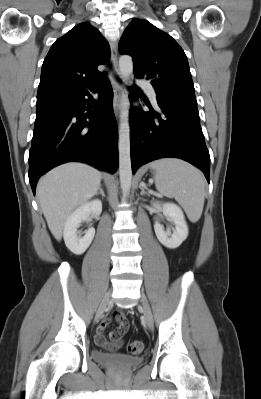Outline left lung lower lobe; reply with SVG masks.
Masks as SVG:
<instances>
[{
	"mask_svg": "<svg viewBox=\"0 0 261 399\" xmlns=\"http://www.w3.org/2000/svg\"><path fill=\"white\" fill-rule=\"evenodd\" d=\"M129 97L131 100L138 98L133 93ZM156 99L161 114L153 110L130 109L132 172L150 161L175 157L201 169L209 183L210 156L200 126L197 101Z\"/></svg>",
	"mask_w": 261,
	"mask_h": 399,
	"instance_id": "left-lung-lower-lobe-1",
	"label": "left lung lower lobe"
}]
</instances>
